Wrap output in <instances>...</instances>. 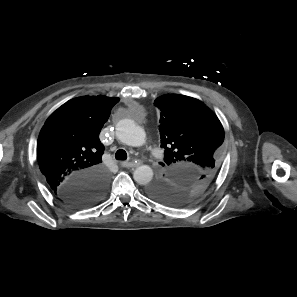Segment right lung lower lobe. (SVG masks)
I'll return each mask as SVG.
<instances>
[{
  "instance_id": "1",
  "label": "right lung lower lobe",
  "mask_w": 297,
  "mask_h": 297,
  "mask_svg": "<svg viewBox=\"0 0 297 297\" xmlns=\"http://www.w3.org/2000/svg\"><path fill=\"white\" fill-rule=\"evenodd\" d=\"M108 181L107 172L93 171L82 173L75 176L64 186L57 193V196L72 207H88L104 197Z\"/></svg>"
}]
</instances>
